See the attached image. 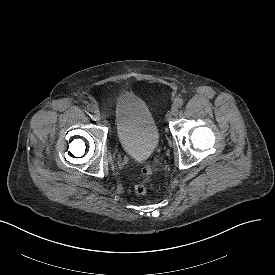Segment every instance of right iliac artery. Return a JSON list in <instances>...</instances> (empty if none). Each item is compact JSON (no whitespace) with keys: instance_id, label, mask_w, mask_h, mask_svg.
Segmentation results:
<instances>
[{"instance_id":"1","label":"right iliac artery","mask_w":275,"mask_h":275,"mask_svg":"<svg viewBox=\"0 0 275 275\" xmlns=\"http://www.w3.org/2000/svg\"><path fill=\"white\" fill-rule=\"evenodd\" d=\"M94 108H95V106L92 105V104H90V105L87 106V110H88L89 112H93V111H94Z\"/></svg>"}]
</instances>
